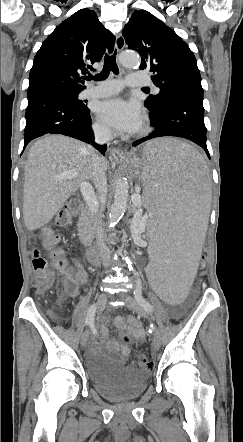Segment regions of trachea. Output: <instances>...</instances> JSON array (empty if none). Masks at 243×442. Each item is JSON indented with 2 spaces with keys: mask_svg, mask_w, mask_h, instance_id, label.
I'll return each mask as SVG.
<instances>
[{
  "mask_svg": "<svg viewBox=\"0 0 243 442\" xmlns=\"http://www.w3.org/2000/svg\"><path fill=\"white\" fill-rule=\"evenodd\" d=\"M110 72H113L116 75L119 73V69L116 64V51L112 55L106 54L104 58V66L102 71L99 74H96L95 76L90 75L87 78V80L91 79H94L95 81L105 80L109 76ZM143 89L149 90L148 88H143Z\"/></svg>",
  "mask_w": 243,
  "mask_h": 442,
  "instance_id": "obj_1",
  "label": "trachea"
}]
</instances>
